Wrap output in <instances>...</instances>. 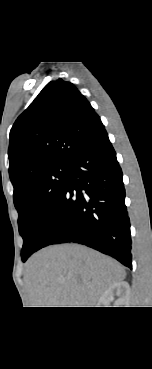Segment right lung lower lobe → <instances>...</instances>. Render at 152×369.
I'll list each match as a JSON object with an SVG mask.
<instances>
[{"label": "right lung lower lobe", "instance_id": "right-lung-lower-lobe-1", "mask_svg": "<svg viewBox=\"0 0 152 369\" xmlns=\"http://www.w3.org/2000/svg\"><path fill=\"white\" fill-rule=\"evenodd\" d=\"M122 176L104 130L68 163L67 183L37 250L75 242L132 269L130 220Z\"/></svg>", "mask_w": 152, "mask_h": 369}]
</instances>
